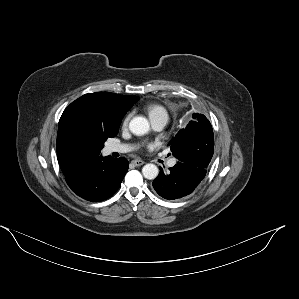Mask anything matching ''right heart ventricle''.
Returning <instances> with one entry per match:
<instances>
[{"label":"right heart ventricle","mask_w":299,"mask_h":299,"mask_svg":"<svg viewBox=\"0 0 299 299\" xmlns=\"http://www.w3.org/2000/svg\"><path fill=\"white\" fill-rule=\"evenodd\" d=\"M145 111L150 120H153L159 116L165 115L168 117L166 109L157 103H150L145 106Z\"/></svg>","instance_id":"e07e8e85"}]
</instances>
